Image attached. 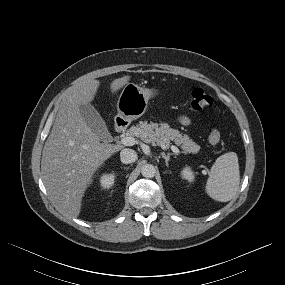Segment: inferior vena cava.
I'll return each instance as SVG.
<instances>
[{
    "mask_svg": "<svg viewBox=\"0 0 285 285\" xmlns=\"http://www.w3.org/2000/svg\"><path fill=\"white\" fill-rule=\"evenodd\" d=\"M121 161L125 164L133 163L137 160V153L132 149H123L120 152Z\"/></svg>",
    "mask_w": 285,
    "mask_h": 285,
    "instance_id": "1",
    "label": "inferior vena cava"
}]
</instances>
